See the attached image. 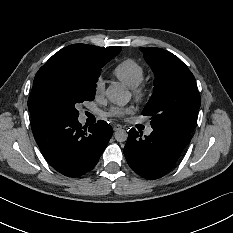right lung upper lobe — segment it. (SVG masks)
<instances>
[{
  "label": "right lung upper lobe",
  "mask_w": 233,
  "mask_h": 233,
  "mask_svg": "<svg viewBox=\"0 0 233 233\" xmlns=\"http://www.w3.org/2000/svg\"><path fill=\"white\" fill-rule=\"evenodd\" d=\"M120 50L121 47L118 46L101 48L86 44L69 45L55 53L40 68L34 79L32 90L38 84L42 74L49 68L61 66L66 69L91 75L100 72L101 67L116 56ZM32 124L35 123L32 121Z\"/></svg>",
  "instance_id": "right-lung-upper-lobe-1"
}]
</instances>
